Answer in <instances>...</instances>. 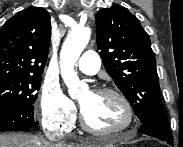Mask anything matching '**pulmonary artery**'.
<instances>
[{
    "mask_svg": "<svg viewBox=\"0 0 183 147\" xmlns=\"http://www.w3.org/2000/svg\"><path fill=\"white\" fill-rule=\"evenodd\" d=\"M77 66L81 72L87 75H94L98 72L101 66L99 55L93 51H85L80 57Z\"/></svg>",
    "mask_w": 183,
    "mask_h": 147,
    "instance_id": "1",
    "label": "pulmonary artery"
}]
</instances>
